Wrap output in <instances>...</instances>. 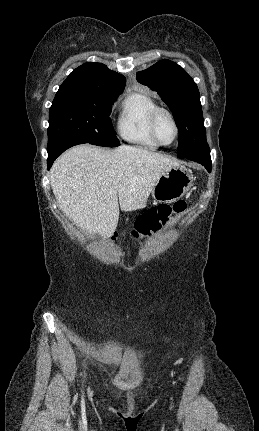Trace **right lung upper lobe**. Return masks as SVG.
Instances as JSON below:
<instances>
[{"label":"right lung upper lobe","mask_w":259,"mask_h":431,"mask_svg":"<svg viewBox=\"0 0 259 431\" xmlns=\"http://www.w3.org/2000/svg\"><path fill=\"white\" fill-rule=\"evenodd\" d=\"M126 79L97 62L85 63L69 74L57 93L101 95L122 92Z\"/></svg>","instance_id":"1"}]
</instances>
